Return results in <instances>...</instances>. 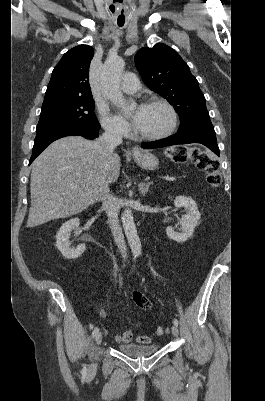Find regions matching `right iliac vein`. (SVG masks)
Instances as JSON below:
<instances>
[{
	"mask_svg": "<svg viewBox=\"0 0 265 401\" xmlns=\"http://www.w3.org/2000/svg\"><path fill=\"white\" fill-rule=\"evenodd\" d=\"M101 342H102V333L98 332L95 336L96 346H99L101 344ZM96 368H97V362H96V359L93 358L92 362L89 364L88 373L90 374L91 372H94L96 370Z\"/></svg>",
	"mask_w": 265,
	"mask_h": 401,
	"instance_id": "1",
	"label": "right iliac vein"
}]
</instances>
